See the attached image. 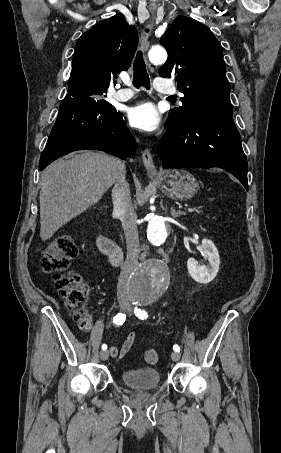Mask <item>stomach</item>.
I'll return each instance as SVG.
<instances>
[{
    "instance_id": "stomach-1",
    "label": "stomach",
    "mask_w": 281,
    "mask_h": 453,
    "mask_svg": "<svg viewBox=\"0 0 281 453\" xmlns=\"http://www.w3.org/2000/svg\"><path fill=\"white\" fill-rule=\"evenodd\" d=\"M159 180L163 192L175 200H188L199 188L195 176L186 170H163Z\"/></svg>"
}]
</instances>
